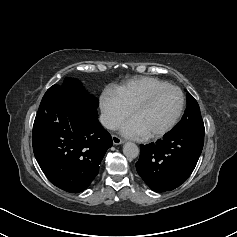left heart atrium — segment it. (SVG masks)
I'll return each instance as SVG.
<instances>
[{
	"label": "left heart atrium",
	"mask_w": 237,
	"mask_h": 237,
	"mask_svg": "<svg viewBox=\"0 0 237 237\" xmlns=\"http://www.w3.org/2000/svg\"><path fill=\"white\" fill-rule=\"evenodd\" d=\"M122 133L130 138H140L144 136V133L142 132L140 127L132 119H130L123 125Z\"/></svg>",
	"instance_id": "obj_1"
}]
</instances>
